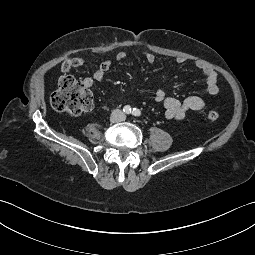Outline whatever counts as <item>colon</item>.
Segmentation results:
<instances>
[{
  "mask_svg": "<svg viewBox=\"0 0 255 255\" xmlns=\"http://www.w3.org/2000/svg\"><path fill=\"white\" fill-rule=\"evenodd\" d=\"M49 102L56 111L80 115L92 108L93 95L82 81L71 75H62L57 79V88L51 93ZM207 117L216 122L220 116L216 110L209 109Z\"/></svg>",
  "mask_w": 255,
  "mask_h": 255,
  "instance_id": "1",
  "label": "colon"
}]
</instances>
